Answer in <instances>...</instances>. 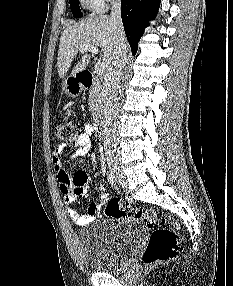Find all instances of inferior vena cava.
I'll return each mask as SVG.
<instances>
[{"label":"inferior vena cava","instance_id":"602c4592","mask_svg":"<svg viewBox=\"0 0 233 286\" xmlns=\"http://www.w3.org/2000/svg\"><path fill=\"white\" fill-rule=\"evenodd\" d=\"M111 5V20L114 23L115 33V52L114 58L107 69L103 83L105 93L104 119L105 132L109 135V139L107 141H116L118 131V89L122 70L127 60V47L125 44L126 39L121 20L120 0H111ZM114 147L115 150H118L117 141L114 143Z\"/></svg>","mask_w":233,"mask_h":286}]
</instances>
